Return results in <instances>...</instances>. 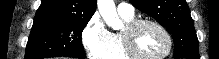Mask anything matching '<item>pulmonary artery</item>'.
<instances>
[{
	"mask_svg": "<svg viewBox=\"0 0 219 59\" xmlns=\"http://www.w3.org/2000/svg\"><path fill=\"white\" fill-rule=\"evenodd\" d=\"M117 11L120 15L133 16L135 9L131 4L122 2L118 4Z\"/></svg>",
	"mask_w": 219,
	"mask_h": 59,
	"instance_id": "obj_1",
	"label": "pulmonary artery"
}]
</instances>
